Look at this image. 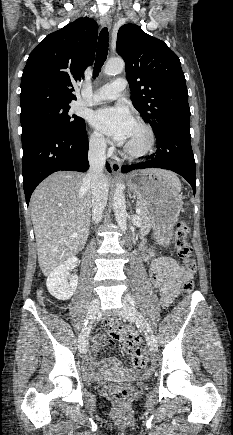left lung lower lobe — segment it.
<instances>
[{
  "label": "left lung lower lobe",
  "mask_w": 233,
  "mask_h": 435,
  "mask_svg": "<svg viewBox=\"0 0 233 435\" xmlns=\"http://www.w3.org/2000/svg\"><path fill=\"white\" fill-rule=\"evenodd\" d=\"M157 139V151L151 155V160L123 165L122 172L135 169L162 168L174 171L184 177L196 191L195 160L191 147L190 127H180L162 133Z\"/></svg>",
  "instance_id": "1"
}]
</instances>
